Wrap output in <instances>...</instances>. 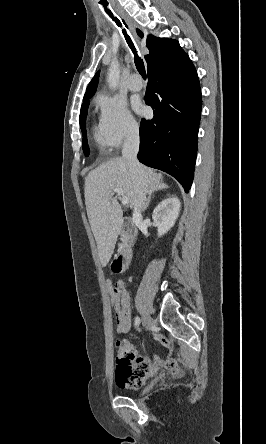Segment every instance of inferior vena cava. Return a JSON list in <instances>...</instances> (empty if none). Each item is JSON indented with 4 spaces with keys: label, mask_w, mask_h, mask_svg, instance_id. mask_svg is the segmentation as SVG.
<instances>
[{
    "label": "inferior vena cava",
    "mask_w": 266,
    "mask_h": 444,
    "mask_svg": "<svg viewBox=\"0 0 266 444\" xmlns=\"http://www.w3.org/2000/svg\"><path fill=\"white\" fill-rule=\"evenodd\" d=\"M139 129L133 127L130 129L122 149V157L128 162L131 172L137 178L136 198L134 204L133 217L141 218L142 211L146 205V195L149 192L148 186L143 178L142 167L137 160V154L139 151Z\"/></svg>",
    "instance_id": "obj_1"
}]
</instances>
